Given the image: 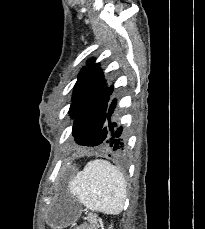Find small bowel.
<instances>
[{
	"label": "small bowel",
	"instance_id": "c3829d8e",
	"mask_svg": "<svg viewBox=\"0 0 205 229\" xmlns=\"http://www.w3.org/2000/svg\"><path fill=\"white\" fill-rule=\"evenodd\" d=\"M75 229H94V228L89 225L83 224V225L77 226Z\"/></svg>",
	"mask_w": 205,
	"mask_h": 229
}]
</instances>
